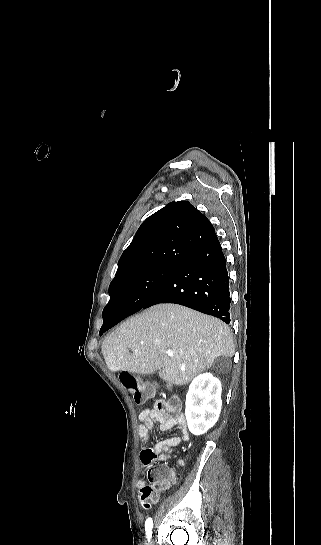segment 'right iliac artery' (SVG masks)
Returning a JSON list of instances; mask_svg holds the SVG:
<instances>
[{
  "mask_svg": "<svg viewBox=\"0 0 321 545\" xmlns=\"http://www.w3.org/2000/svg\"><path fill=\"white\" fill-rule=\"evenodd\" d=\"M152 527H153L152 518H148L145 523V531H146V537L148 542H150L152 537Z\"/></svg>",
  "mask_w": 321,
  "mask_h": 545,
  "instance_id": "82829eb1",
  "label": "right iliac artery"
}]
</instances>
